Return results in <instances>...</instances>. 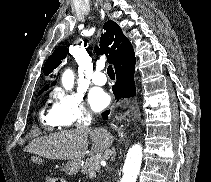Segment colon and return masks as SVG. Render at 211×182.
<instances>
[{"label":"colon","mask_w":211,"mask_h":182,"mask_svg":"<svg viewBox=\"0 0 211 182\" xmlns=\"http://www.w3.org/2000/svg\"><path fill=\"white\" fill-rule=\"evenodd\" d=\"M45 182H66L65 179L61 176H47Z\"/></svg>","instance_id":"5ec220e1"}]
</instances>
